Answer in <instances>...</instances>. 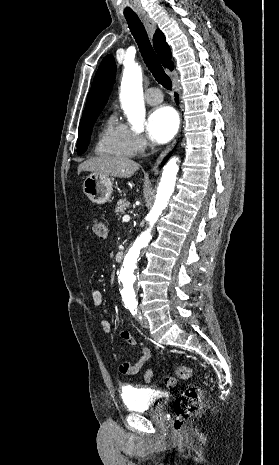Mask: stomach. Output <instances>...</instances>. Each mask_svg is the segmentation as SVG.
Wrapping results in <instances>:
<instances>
[{
	"instance_id": "1",
	"label": "stomach",
	"mask_w": 279,
	"mask_h": 465,
	"mask_svg": "<svg viewBox=\"0 0 279 465\" xmlns=\"http://www.w3.org/2000/svg\"><path fill=\"white\" fill-rule=\"evenodd\" d=\"M83 192L92 203L104 204L112 195V181L108 176L91 173L84 179Z\"/></svg>"
}]
</instances>
